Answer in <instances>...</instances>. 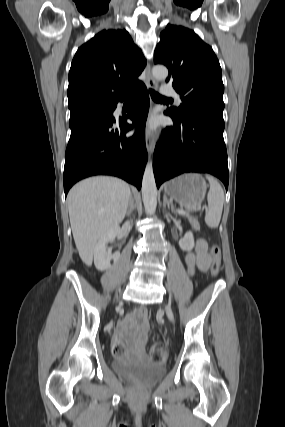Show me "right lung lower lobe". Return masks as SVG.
<instances>
[{
  "instance_id": "1",
  "label": "right lung lower lobe",
  "mask_w": 285,
  "mask_h": 427,
  "mask_svg": "<svg viewBox=\"0 0 285 427\" xmlns=\"http://www.w3.org/2000/svg\"><path fill=\"white\" fill-rule=\"evenodd\" d=\"M134 92L137 100L125 118L115 120L113 115H86L70 126L64 166L65 195L77 181L93 175L117 176L141 188L147 161L145 121L149 96L143 83ZM116 106L117 103L113 108ZM127 118L137 127L131 137H126L133 128Z\"/></svg>"
}]
</instances>
